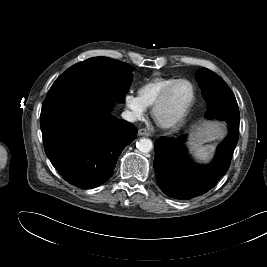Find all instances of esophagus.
Instances as JSON below:
<instances>
[{
    "label": "esophagus",
    "instance_id": "1",
    "mask_svg": "<svg viewBox=\"0 0 267 267\" xmlns=\"http://www.w3.org/2000/svg\"><path fill=\"white\" fill-rule=\"evenodd\" d=\"M138 135L139 136H150V132L145 128H141L138 130Z\"/></svg>",
    "mask_w": 267,
    "mask_h": 267
}]
</instances>
